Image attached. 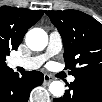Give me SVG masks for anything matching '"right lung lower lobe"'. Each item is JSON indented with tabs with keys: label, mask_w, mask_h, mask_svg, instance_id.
<instances>
[{
	"label": "right lung lower lobe",
	"mask_w": 102,
	"mask_h": 102,
	"mask_svg": "<svg viewBox=\"0 0 102 102\" xmlns=\"http://www.w3.org/2000/svg\"><path fill=\"white\" fill-rule=\"evenodd\" d=\"M44 75L39 71H26L22 76L7 66L0 70V94L6 102H27L30 91L42 84Z\"/></svg>",
	"instance_id": "98d812e1"
}]
</instances>
